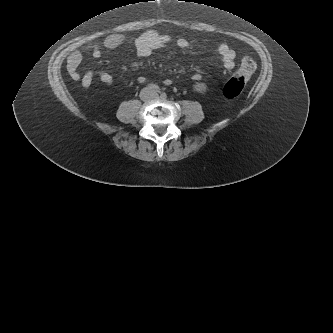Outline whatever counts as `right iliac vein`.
I'll return each mask as SVG.
<instances>
[{"instance_id": "1", "label": "right iliac vein", "mask_w": 333, "mask_h": 333, "mask_svg": "<svg viewBox=\"0 0 333 333\" xmlns=\"http://www.w3.org/2000/svg\"><path fill=\"white\" fill-rule=\"evenodd\" d=\"M150 96V91H148L147 89L144 92V97L148 98Z\"/></svg>"}]
</instances>
